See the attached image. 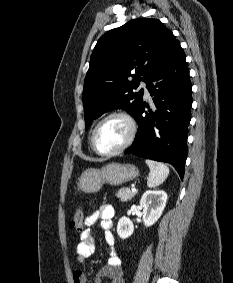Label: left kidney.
<instances>
[{"label":"left kidney","instance_id":"left-kidney-1","mask_svg":"<svg viewBox=\"0 0 233 283\" xmlns=\"http://www.w3.org/2000/svg\"><path fill=\"white\" fill-rule=\"evenodd\" d=\"M167 194L163 190L146 191L141 200L140 207L143 209V222L146 227L153 225L162 215L166 206ZM134 226L127 217H122L117 225V233L120 238L126 239L132 235Z\"/></svg>","mask_w":233,"mask_h":283}]
</instances>
